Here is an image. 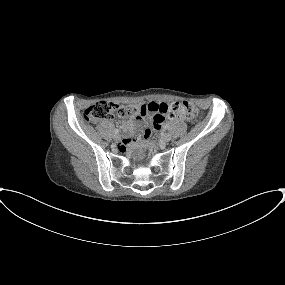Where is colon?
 Masks as SVG:
<instances>
[{"label":"colon","instance_id":"1","mask_svg":"<svg viewBox=\"0 0 285 285\" xmlns=\"http://www.w3.org/2000/svg\"><path fill=\"white\" fill-rule=\"evenodd\" d=\"M115 112L119 117L126 119L147 113V108L145 105L117 106L114 103L101 101L85 109L84 119L87 122L96 123L112 118ZM198 113V110L189 102H174L164 108L162 119L165 121L166 118H190L197 116Z\"/></svg>","mask_w":285,"mask_h":285}]
</instances>
